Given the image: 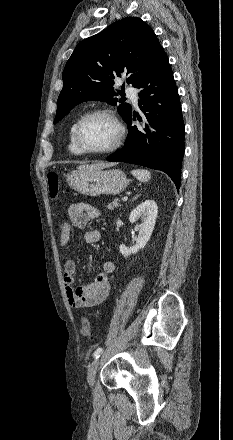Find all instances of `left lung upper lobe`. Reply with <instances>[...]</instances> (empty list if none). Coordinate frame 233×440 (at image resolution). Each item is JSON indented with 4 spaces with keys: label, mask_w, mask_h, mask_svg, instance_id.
Here are the masks:
<instances>
[{
    "label": "left lung upper lobe",
    "mask_w": 233,
    "mask_h": 440,
    "mask_svg": "<svg viewBox=\"0 0 233 440\" xmlns=\"http://www.w3.org/2000/svg\"><path fill=\"white\" fill-rule=\"evenodd\" d=\"M162 51L151 27L136 17L119 20L81 41L63 71V89L57 100L54 124L84 101H107L116 105L115 96L122 92H116L114 80L126 77V82L136 87ZM119 102L122 104L118 110L126 121L132 108Z\"/></svg>",
    "instance_id": "1"
}]
</instances>
